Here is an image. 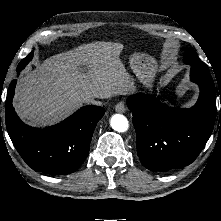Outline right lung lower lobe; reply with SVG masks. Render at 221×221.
I'll return each instance as SVG.
<instances>
[{
    "instance_id": "98d812e1",
    "label": "right lung lower lobe",
    "mask_w": 221,
    "mask_h": 221,
    "mask_svg": "<svg viewBox=\"0 0 221 221\" xmlns=\"http://www.w3.org/2000/svg\"><path fill=\"white\" fill-rule=\"evenodd\" d=\"M15 85L16 80H13L7 91L5 121L8 134L23 160L33 170L50 175L76 171L88 155L94 129L105 109L85 106L57 125L33 128L15 113L12 105Z\"/></svg>"
}]
</instances>
